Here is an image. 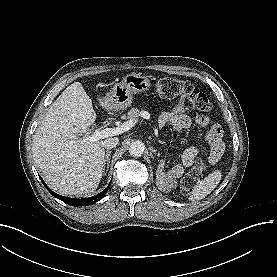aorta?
I'll return each mask as SVG.
<instances>
[{"instance_id":"1","label":"aorta","mask_w":277,"mask_h":277,"mask_svg":"<svg viewBox=\"0 0 277 277\" xmlns=\"http://www.w3.org/2000/svg\"><path fill=\"white\" fill-rule=\"evenodd\" d=\"M145 150V145L142 141H133L129 146V153L131 156L140 157Z\"/></svg>"}]
</instances>
